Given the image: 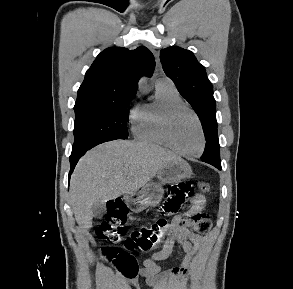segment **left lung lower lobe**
I'll return each instance as SVG.
<instances>
[{"label":"left lung lower lobe","instance_id":"1","mask_svg":"<svg viewBox=\"0 0 293 289\" xmlns=\"http://www.w3.org/2000/svg\"><path fill=\"white\" fill-rule=\"evenodd\" d=\"M218 138L215 136L210 137L209 139L206 140V146H205V151L208 152L212 150L217 144H218ZM202 160V159H201ZM203 161V160H202ZM204 162V161H203ZM215 166L217 169L221 170V164H211Z\"/></svg>","mask_w":293,"mask_h":289}]
</instances>
